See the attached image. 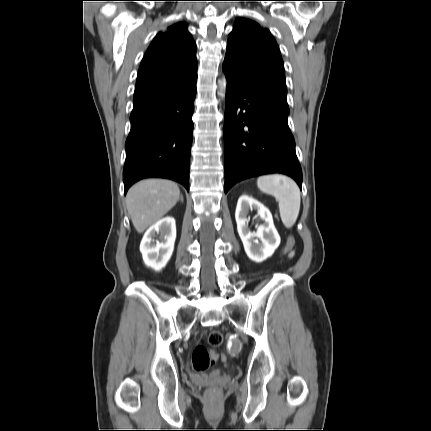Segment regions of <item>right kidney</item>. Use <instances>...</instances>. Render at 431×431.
I'll return each mask as SVG.
<instances>
[{
    "label": "right kidney",
    "mask_w": 431,
    "mask_h": 431,
    "mask_svg": "<svg viewBox=\"0 0 431 431\" xmlns=\"http://www.w3.org/2000/svg\"><path fill=\"white\" fill-rule=\"evenodd\" d=\"M159 235V240L155 237ZM176 239L175 219L165 217L151 226L143 236L140 252L146 266L160 271L170 260Z\"/></svg>",
    "instance_id": "right-kidney-1"
}]
</instances>
